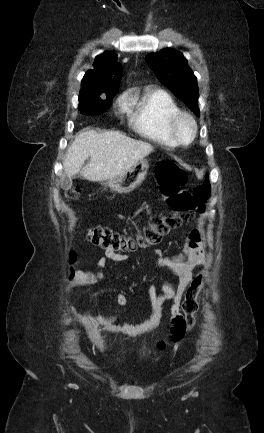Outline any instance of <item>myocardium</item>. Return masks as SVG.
<instances>
[{"label": "myocardium", "instance_id": "myocardium-1", "mask_svg": "<svg viewBox=\"0 0 264 433\" xmlns=\"http://www.w3.org/2000/svg\"><path fill=\"white\" fill-rule=\"evenodd\" d=\"M188 121L192 127L191 137L188 140H184L178 133V125L181 121ZM167 129L170 136L173 138L176 144L178 145H189L191 144L198 134V125L195 118L185 111H177L172 114L167 122Z\"/></svg>", "mask_w": 264, "mask_h": 433}]
</instances>
